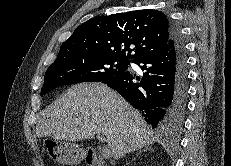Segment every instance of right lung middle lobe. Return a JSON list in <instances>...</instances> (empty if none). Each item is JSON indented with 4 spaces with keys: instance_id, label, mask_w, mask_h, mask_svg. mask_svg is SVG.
Instances as JSON below:
<instances>
[{
    "instance_id": "dd1d6c3e",
    "label": "right lung middle lobe",
    "mask_w": 231,
    "mask_h": 166,
    "mask_svg": "<svg viewBox=\"0 0 231 166\" xmlns=\"http://www.w3.org/2000/svg\"><path fill=\"white\" fill-rule=\"evenodd\" d=\"M129 60L98 53H84L57 58L44 76L41 95L68 84L102 82L128 69Z\"/></svg>"
}]
</instances>
